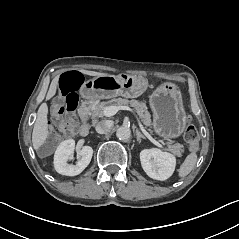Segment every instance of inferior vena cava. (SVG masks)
<instances>
[{
	"instance_id": "602c4592",
	"label": "inferior vena cava",
	"mask_w": 239,
	"mask_h": 239,
	"mask_svg": "<svg viewBox=\"0 0 239 239\" xmlns=\"http://www.w3.org/2000/svg\"><path fill=\"white\" fill-rule=\"evenodd\" d=\"M111 123L109 121H100L96 124L95 130L98 134H105L109 132Z\"/></svg>"
}]
</instances>
